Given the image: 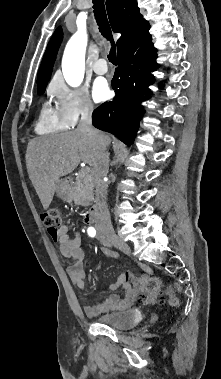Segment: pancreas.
<instances>
[{
  "label": "pancreas",
  "instance_id": "obj_1",
  "mask_svg": "<svg viewBox=\"0 0 221 379\" xmlns=\"http://www.w3.org/2000/svg\"><path fill=\"white\" fill-rule=\"evenodd\" d=\"M73 196L78 201L94 200V184L91 174L81 175L79 173L75 181Z\"/></svg>",
  "mask_w": 221,
  "mask_h": 379
}]
</instances>
